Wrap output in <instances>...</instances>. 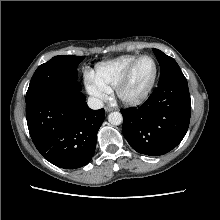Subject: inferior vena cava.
I'll return each instance as SVG.
<instances>
[{"instance_id":"1","label":"inferior vena cava","mask_w":220,"mask_h":220,"mask_svg":"<svg viewBox=\"0 0 220 220\" xmlns=\"http://www.w3.org/2000/svg\"><path fill=\"white\" fill-rule=\"evenodd\" d=\"M87 103H88V106L94 110L101 109L104 106V103L102 100L98 98H94V97H89Z\"/></svg>"}]
</instances>
